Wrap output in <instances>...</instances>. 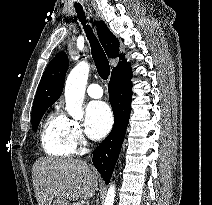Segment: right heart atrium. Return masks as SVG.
Masks as SVG:
<instances>
[{
  "mask_svg": "<svg viewBox=\"0 0 212 205\" xmlns=\"http://www.w3.org/2000/svg\"><path fill=\"white\" fill-rule=\"evenodd\" d=\"M68 123L70 137L75 148L82 146L85 143V138L80 122L76 119H68Z\"/></svg>",
  "mask_w": 212,
  "mask_h": 205,
  "instance_id": "obj_1",
  "label": "right heart atrium"
}]
</instances>
